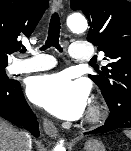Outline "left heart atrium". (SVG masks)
Returning <instances> with one entry per match:
<instances>
[{
    "mask_svg": "<svg viewBox=\"0 0 131 151\" xmlns=\"http://www.w3.org/2000/svg\"><path fill=\"white\" fill-rule=\"evenodd\" d=\"M29 99L62 119L79 118L87 104L88 88L65 73L34 77L27 86Z\"/></svg>",
    "mask_w": 131,
    "mask_h": 151,
    "instance_id": "1",
    "label": "left heart atrium"
}]
</instances>
